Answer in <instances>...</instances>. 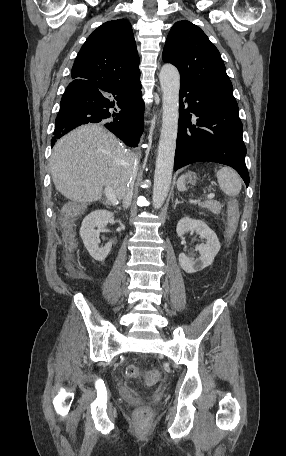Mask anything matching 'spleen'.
I'll use <instances>...</instances> for the list:
<instances>
[{
    "mask_svg": "<svg viewBox=\"0 0 286 456\" xmlns=\"http://www.w3.org/2000/svg\"><path fill=\"white\" fill-rule=\"evenodd\" d=\"M217 180L221 190L229 195L236 196L240 193L242 181L239 175L229 167H223L217 172ZM179 191H185V175H181L177 181Z\"/></svg>",
    "mask_w": 286,
    "mask_h": 456,
    "instance_id": "spleen-1",
    "label": "spleen"
}]
</instances>
